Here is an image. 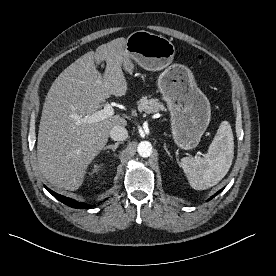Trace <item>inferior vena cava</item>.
Wrapping results in <instances>:
<instances>
[{"mask_svg":"<svg viewBox=\"0 0 276 276\" xmlns=\"http://www.w3.org/2000/svg\"><path fill=\"white\" fill-rule=\"evenodd\" d=\"M110 137L112 138V140L114 141H124L127 139L128 137V132L127 130L122 127V126H114L111 130H110Z\"/></svg>","mask_w":276,"mask_h":276,"instance_id":"inferior-vena-cava-1","label":"inferior vena cava"}]
</instances>
